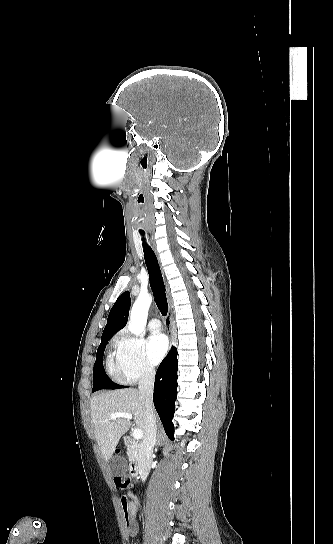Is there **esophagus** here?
<instances>
[{
    "mask_svg": "<svg viewBox=\"0 0 333 544\" xmlns=\"http://www.w3.org/2000/svg\"><path fill=\"white\" fill-rule=\"evenodd\" d=\"M154 249L156 251V248H155V245H154ZM166 294H167V301H168V314L167 316L165 317V325H166V328L168 330V333L170 334V338H171V344L174 345L175 342H176V339L172 333V321H171V315H172V298H171V295H170V292L169 290L167 289L166 291Z\"/></svg>",
    "mask_w": 333,
    "mask_h": 544,
    "instance_id": "1",
    "label": "esophagus"
}]
</instances>
